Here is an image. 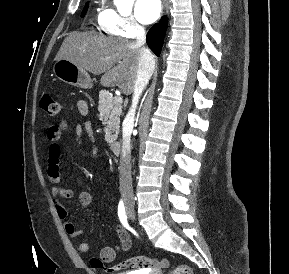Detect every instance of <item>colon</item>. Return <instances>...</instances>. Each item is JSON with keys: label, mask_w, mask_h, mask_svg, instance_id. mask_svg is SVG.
Listing matches in <instances>:
<instances>
[{"label": "colon", "mask_w": 289, "mask_h": 274, "mask_svg": "<svg viewBox=\"0 0 289 274\" xmlns=\"http://www.w3.org/2000/svg\"><path fill=\"white\" fill-rule=\"evenodd\" d=\"M39 105L49 116L58 115L62 107L61 101L49 94L42 95ZM90 263L92 268L102 269L106 272L130 270L148 273L152 270L161 271L172 268L170 274H194L193 269L187 265H172L167 259H154L146 256L132 257L112 266H105L98 258H92Z\"/></svg>", "instance_id": "1"}]
</instances>
